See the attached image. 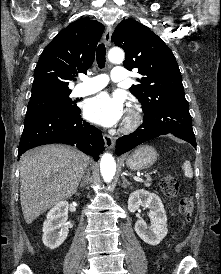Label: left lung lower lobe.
Returning <instances> with one entry per match:
<instances>
[{"instance_id":"0a47b994","label":"left lung lower lobe","mask_w":221,"mask_h":274,"mask_svg":"<svg viewBox=\"0 0 221 274\" xmlns=\"http://www.w3.org/2000/svg\"><path fill=\"white\" fill-rule=\"evenodd\" d=\"M143 112L142 125L134 133L117 140V155L129 151L145 141L168 133L196 147L191 115L186 100H179L163 107H153Z\"/></svg>"}]
</instances>
